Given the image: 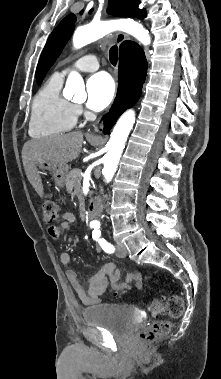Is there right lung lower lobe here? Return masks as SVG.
Wrapping results in <instances>:
<instances>
[{
  "mask_svg": "<svg viewBox=\"0 0 221 379\" xmlns=\"http://www.w3.org/2000/svg\"><path fill=\"white\" fill-rule=\"evenodd\" d=\"M146 72L147 61L142 48L132 41H125L120 47L117 96L109 114L103 118L105 134L118 117L140 98Z\"/></svg>",
  "mask_w": 221,
  "mask_h": 379,
  "instance_id": "right-lung-lower-lobe-1",
  "label": "right lung lower lobe"
}]
</instances>
